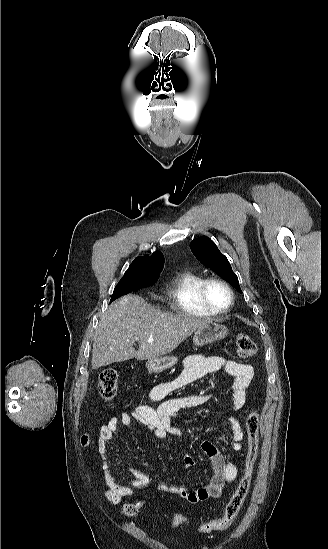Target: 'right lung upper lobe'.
Here are the masks:
<instances>
[{"mask_svg": "<svg viewBox=\"0 0 328 549\" xmlns=\"http://www.w3.org/2000/svg\"><path fill=\"white\" fill-rule=\"evenodd\" d=\"M164 257L161 252L155 251L151 256L137 257L126 272L135 271L144 267H156L163 269Z\"/></svg>", "mask_w": 328, "mask_h": 549, "instance_id": "1", "label": "right lung upper lobe"}]
</instances>
